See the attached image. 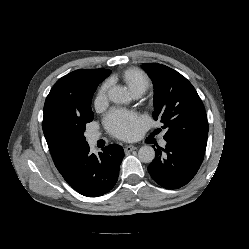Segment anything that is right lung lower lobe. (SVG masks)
<instances>
[{"mask_svg": "<svg viewBox=\"0 0 249 249\" xmlns=\"http://www.w3.org/2000/svg\"><path fill=\"white\" fill-rule=\"evenodd\" d=\"M90 154L88 144L65 150L55 163L63 178L80 194L97 197L109 192L117 182L124 150L117 144Z\"/></svg>", "mask_w": 249, "mask_h": 249, "instance_id": "1", "label": "right lung lower lobe"}]
</instances>
